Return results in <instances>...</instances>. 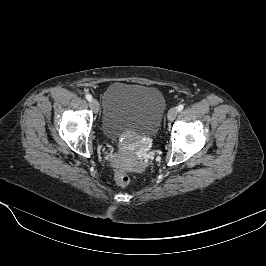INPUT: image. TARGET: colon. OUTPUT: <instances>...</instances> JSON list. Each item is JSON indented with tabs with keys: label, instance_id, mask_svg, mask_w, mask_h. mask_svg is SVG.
<instances>
[{
	"label": "colon",
	"instance_id": "1",
	"mask_svg": "<svg viewBox=\"0 0 266 266\" xmlns=\"http://www.w3.org/2000/svg\"><path fill=\"white\" fill-rule=\"evenodd\" d=\"M115 182L122 187H125L129 184L130 178L128 174L123 170H117L114 174Z\"/></svg>",
	"mask_w": 266,
	"mask_h": 266
}]
</instances>
